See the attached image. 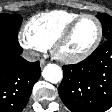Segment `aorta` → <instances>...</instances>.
<instances>
[{
    "label": "aorta",
    "mask_w": 112,
    "mask_h": 112,
    "mask_svg": "<svg viewBox=\"0 0 112 112\" xmlns=\"http://www.w3.org/2000/svg\"><path fill=\"white\" fill-rule=\"evenodd\" d=\"M42 76L44 79L50 83L56 84L60 82L63 78V71L57 64H47L43 71Z\"/></svg>",
    "instance_id": "1"
}]
</instances>
